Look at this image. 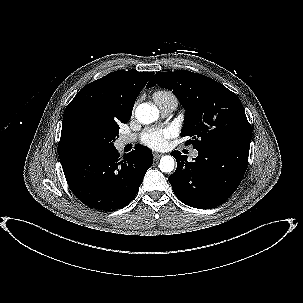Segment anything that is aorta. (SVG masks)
Instances as JSON below:
<instances>
[{
	"label": "aorta",
	"mask_w": 303,
	"mask_h": 303,
	"mask_svg": "<svg viewBox=\"0 0 303 303\" xmlns=\"http://www.w3.org/2000/svg\"><path fill=\"white\" fill-rule=\"evenodd\" d=\"M136 118L143 124H150L157 120L159 111L156 106L142 103L137 106L135 111ZM175 166L174 158L170 155L161 157L159 168L162 172L168 173L173 171Z\"/></svg>",
	"instance_id": "obj_1"
}]
</instances>
